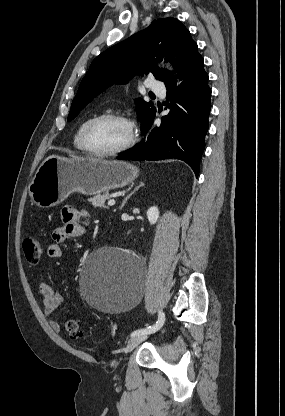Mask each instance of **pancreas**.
Wrapping results in <instances>:
<instances>
[{
    "label": "pancreas",
    "mask_w": 285,
    "mask_h": 416,
    "mask_svg": "<svg viewBox=\"0 0 285 416\" xmlns=\"http://www.w3.org/2000/svg\"><path fill=\"white\" fill-rule=\"evenodd\" d=\"M110 194L108 192H105V194H102V196H94V198H88V202H92V206L94 208H107L105 206L106 200H109Z\"/></svg>",
    "instance_id": "obj_1"
}]
</instances>
